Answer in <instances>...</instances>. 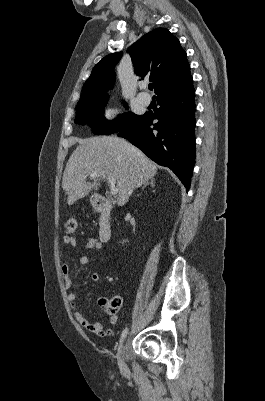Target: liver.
I'll return each instance as SVG.
<instances>
[{"label": "liver", "instance_id": "1", "mask_svg": "<svg viewBox=\"0 0 265 401\" xmlns=\"http://www.w3.org/2000/svg\"><path fill=\"white\" fill-rule=\"evenodd\" d=\"M77 142L79 144L63 172L62 188L68 194V205H74L79 198L89 194L92 188L98 190L99 180H108V176H114L118 188L117 205L123 207L128 201L129 190L148 182L157 172L155 162L136 146L114 134L77 138ZM91 172L98 174L94 176V182H86Z\"/></svg>", "mask_w": 265, "mask_h": 401}]
</instances>
